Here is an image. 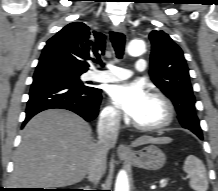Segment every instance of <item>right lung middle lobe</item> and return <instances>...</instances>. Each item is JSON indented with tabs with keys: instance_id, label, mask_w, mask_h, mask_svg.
Segmentation results:
<instances>
[{
	"instance_id": "right-lung-middle-lobe-1",
	"label": "right lung middle lobe",
	"mask_w": 218,
	"mask_h": 191,
	"mask_svg": "<svg viewBox=\"0 0 218 191\" xmlns=\"http://www.w3.org/2000/svg\"><path fill=\"white\" fill-rule=\"evenodd\" d=\"M41 69H54L65 76L76 86L87 87L80 81V75L85 71L79 70L63 60H60L54 56H41L39 59V64L36 70Z\"/></svg>"
}]
</instances>
